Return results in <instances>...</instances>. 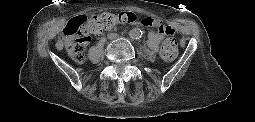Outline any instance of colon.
Returning a JSON list of instances; mask_svg holds the SVG:
<instances>
[{
	"mask_svg": "<svg viewBox=\"0 0 255 122\" xmlns=\"http://www.w3.org/2000/svg\"><path fill=\"white\" fill-rule=\"evenodd\" d=\"M138 16L132 12L102 13L90 17H77L67 24L64 29L65 48L69 56L76 62L85 59V52L92 40V35L111 29L116 24L134 23ZM145 27H155L159 32L168 35L161 47L164 60L175 59L178 53L175 31L162 23L155 22L151 17L141 19Z\"/></svg>",
	"mask_w": 255,
	"mask_h": 122,
	"instance_id": "5ec220e1",
	"label": "colon"
}]
</instances>
